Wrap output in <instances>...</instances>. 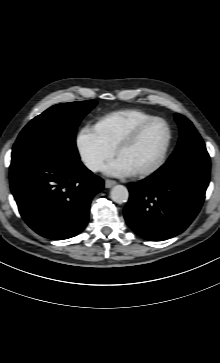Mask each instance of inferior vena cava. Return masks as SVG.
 <instances>
[{
    "label": "inferior vena cava",
    "instance_id": "obj_1",
    "mask_svg": "<svg viewBox=\"0 0 220 363\" xmlns=\"http://www.w3.org/2000/svg\"><path fill=\"white\" fill-rule=\"evenodd\" d=\"M102 166V163L99 161H91L87 164V167L92 171H98Z\"/></svg>",
    "mask_w": 220,
    "mask_h": 363
}]
</instances>
